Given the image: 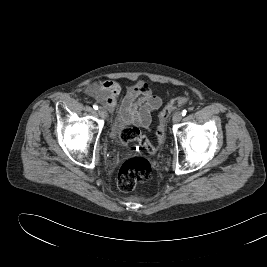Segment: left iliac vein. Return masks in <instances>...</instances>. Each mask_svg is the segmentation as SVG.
Returning <instances> with one entry per match:
<instances>
[{
  "instance_id": "left-iliac-vein-1",
  "label": "left iliac vein",
  "mask_w": 267,
  "mask_h": 267,
  "mask_svg": "<svg viewBox=\"0 0 267 267\" xmlns=\"http://www.w3.org/2000/svg\"><path fill=\"white\" fill-rule=\"evenodd\" d=\"M182 119V113L181 112H176L174 115H173V122L174 123H178L180 122Z\"/></svg>"
}]
</instances>
